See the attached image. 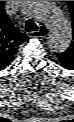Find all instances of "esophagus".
Instances as JSON below:
<instances>
[{
	"label": "esophagus",
	"mask_w": 74,
	"mask_h": 122,
	"mask_svg": "<svg viewBox=\"0 0 74 122\" xmlns=\"http://www.w3.org/2000/svg\"><path fill=\"white\" fill-rule=\"evenodd\" d=\"M48 35V28L44 25L39 26L38 31L30 32L32 38H44Z\"/></svg>",
	"instance_id": "1"
}]
</instances>
